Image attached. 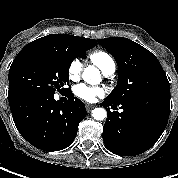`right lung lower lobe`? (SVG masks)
I'll return each mask as SVG.
<instances>
[{
    "mask_svg": "<svg viewBox=\"0 0 178 178\" xmlns=\"http://www.w3.org/2000/svg\"><path fill=\"white\" fill-rule=\"evenodd\" d=\"M14 123L20 134L34 147L59 151L74 141L78 125L87 115L85 104L73 98L65 103L54 94L12 93L8 95Z\"/></svg>",
    "mask_w": 178,
    "mask_h": 178,
    "instance_id": "obj_1",
    "label": "right lung lower lobe"
}]
</instances>
